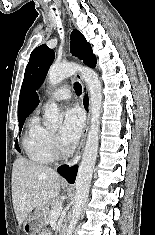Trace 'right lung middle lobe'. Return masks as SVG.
Returning <instances> with one entry per match:
<instances>
[{"instance_id": "obj_1", "label": "right lung middle lobe", "mask_w": 155, "mask_h": 235, "mask_svg": "<svg viewBox=\"0 0 155 235\" xmlns=\"http://www.w3.org/2000/svg\"><path fill=\"white\" fill-rule=\"evenodd\" d=\"M24 121H25V118L22 119V120H19V129H20V130L22 129V126H23V124H24ZM16 149H17L18 151H20V150H19V147H18V144H16Z\"/></svg>"}]
</instances>
